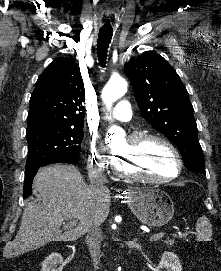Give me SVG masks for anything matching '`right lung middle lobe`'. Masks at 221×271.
I'll return each instance as SVG.
<instances>
[{"label":"right lung middle lobe","mask_w":221,"mask_h":271,"mask_svg":"<svg viewBox=\"0 0 221 271\" xmlns=\"http://www.w3.org/2000/svg\"><path fill=\"white\" fill-rule=\"evenodd\" d=\"M26 168L52 163H75L80 153L82 129L42 126L26 133Z\"/></svg>","instance_id":"1"}]
</instances>
